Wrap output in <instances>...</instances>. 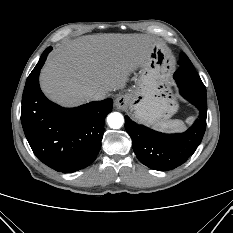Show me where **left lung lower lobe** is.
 I'll return each instance as SVG.
<instances>
[{
  "instance_id": "0a47b994",
  "label": "left lung lower lobe",
  "mask_w": 233,
  "mask_h": 233,
  "mask_svg": "<svg viewBox=\"0 0 233 233\" xmlns=\"http://www.w3.org/2000/svg\"><path fill=\"white\" fill-rule=\"evenodd\" d=\"M189 58L181 52L179 71L187 69ZM177 70V71H178ZM175 74V73H174ZM177 74L175 80L181 95L194 104L200 112L199 119L182 134H163L143 125H137L125 116V129L132 139V147L137 158L146 166L158 171L172 170L182 165L200 144L207 117L206 88L189 85Z\"/></svg>"
}]
</instances>
